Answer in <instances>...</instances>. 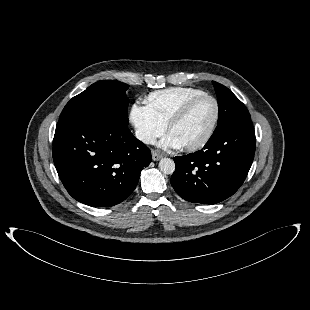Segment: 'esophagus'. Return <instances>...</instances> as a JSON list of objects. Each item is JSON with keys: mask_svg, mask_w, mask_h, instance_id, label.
<instances>
[{"mask_svg": "<svg viewBox=\"0 0 310 310\" xmlns=\"http://www.w3.org/2000/svg\"><path fill=\"white\" fill-rule=\"evenodd\" d=\"M151 154H152V159H153V161H158V160H160V159L163 157L160 153H158V152L155 151V150H153V151L151 152Z\"/></svg>", "mask_w": 310, "mask_h": 310, "instance_id": "1", "label": "esophagus"}]
</instances>
